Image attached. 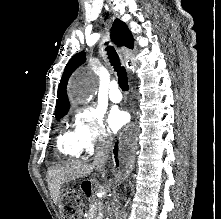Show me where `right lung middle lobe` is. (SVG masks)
<instances>
[{
    "mask_svg": "<svg viewBox=\"0 0 221 219\" xmlns=\"http://www.w3.org/2000/svg\"><path fill=\"white\" fill-rule=\"evenodd\" d=\"M66 113H67V111L62 114L57 115L56 118H60V117L64 116Z\"/></svg>",
    "mask_w": 221,
    "mask_h": 219,
    "instance_id": "1",
    "label": "right lung middle lobe"
}]
</instances>
